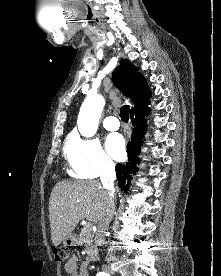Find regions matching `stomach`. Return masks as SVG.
<instances>
[{"label": "stomach", "instance_id": "obj_1", "mask_svg": "<svg viewBox=\"0 0 221 276\" xmlns=\"http://www.w3.org/2000/svg\"><path fill=\"white\" fill-rule=\"evenodd\" d=\"M63 244L66 246H75L77 244V237L76 234L71 233L68 235L64 240Z\"/></svg>", "mask_w": 221, "mask_h": 276}]
</instances>
